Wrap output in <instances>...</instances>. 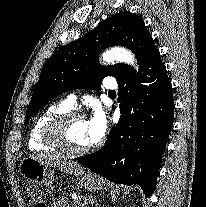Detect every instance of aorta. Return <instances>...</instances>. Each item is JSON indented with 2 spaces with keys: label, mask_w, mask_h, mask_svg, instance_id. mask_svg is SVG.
Returning <instances> with one entry per match:
<instances>
[{
  "label": "aorta",
  "mask_w": 206,
  "mask_h": 207,
  "mask_svg": "<svg viewBox=\"0 0 206 207\" xmlns=\"http://www.w3.org/2000/svg\"><path fill=\"white\" fill-rule=\"evenodd\" d=\"M102 60L106 63L118 61L130 65L135 64V58L133 54L130 51L120 47L113 48L103 53Z\"/></svg>",
  "instance_id": "762f6f07"
}]
</instances>
